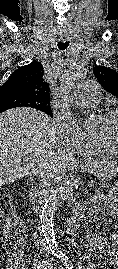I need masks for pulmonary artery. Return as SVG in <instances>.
Returning <instances> with one entry per match:
<instances>
[{"mask_svg":"<svg viewBox=\"0 0 118 269\" xmlns=\"http://www.w3.org/2000/svg\"><path fill=\"white\" fill-rule=\"evenodd\" d=\"M101 92L99 85L94 80H88L83 85V90L76 98L77 103L81 105H93L100 101Z\"/></svg>","mask_w":118,"mask_h":269,"instance_id":"obj_1","label":"pulmonary artery"}]
</instances>
